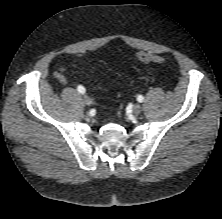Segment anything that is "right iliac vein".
<instances>
[{
    "label": "right iliac vein",
    "instance_id": "63e3f726",
    "mask_svg": "<svg viewBox=\"0 0 222 219\" xmlns=\"http://www.w3.org/2000/svg\"><path fill=\"white\" fill-rule=\"evenodd\" d=\"M83 101L87 106H91L92 105V99L88 96V95H84L83 96Z\"/></svg>",
    "mask_w": 222,
    "mask_h": 219
}]
</instances>
